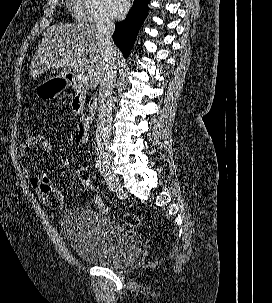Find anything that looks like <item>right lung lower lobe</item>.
<instances>
[{
	"mask_svg": "<svg viewBox=\"0 0 272 303\" xmlns=\"http://www.w3.org/2000/svg\"><path fill=\"white\" fill-rule=\"evenodd\" d=\"M149 1L134 0L126 19L116 23L113 40L125 58L129 56L138 32L148 15Z\"/></svg>",
	"mask_w": 272,
	"mask_h": 303,
	"instance_id": "obj_1",
	"label": "right lung lower lobe"
}]
</instances>
